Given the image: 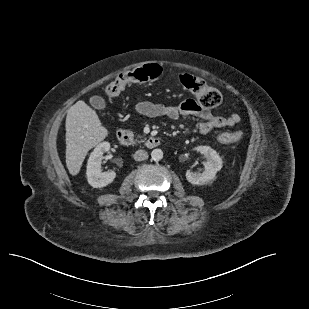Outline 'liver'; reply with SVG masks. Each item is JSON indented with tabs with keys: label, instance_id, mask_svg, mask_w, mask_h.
Segmentation results:
<instances>
[{
	"label": "liver",
	"instance_id": "1",
	"mask_svg": "<svg viewBox=\"0 0 309 309\" xmlns=\"http://www.w3.org/2000/svg\"><path fill=\"white\" fill-rule=\"evenodd\" d=\"M66 166L71 175H77L90 149L104 140L108 130L96 112L84 101H77L67 111Z\"/></svg>",
	"mask_w": 309,
	"mask_h": 309
}]
</instances>
